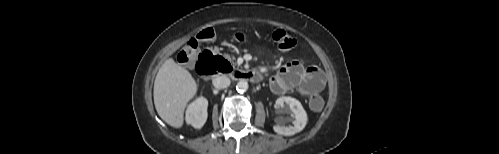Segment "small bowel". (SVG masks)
<instances>
[{
	"mask_svg": "<svg viewBox=\"0 0 499 154\" xmlns=\"http://www.w3.org/2000/svg\"><path fill=\"white\" fill-rule=\"evenodd\" d=\"M237 38L243 40L244 36L239 33ZM324 85V75L317 66L312 65L306 68L296 60L284 65L270 79V88L278 95L297 90L301 96L309 97L320 93Z\"/></svg>",
	"mask_w": 499,
	"mask_h": 154,
	"instance_id": "small-bowel-1",
	"label": "small bowel"
}]
</instances>
